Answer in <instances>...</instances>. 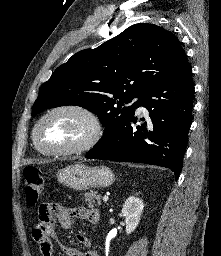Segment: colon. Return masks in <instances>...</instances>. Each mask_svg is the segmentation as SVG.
I'll list each match as a JSON object with an SVG mask.
<instances>
[{"label": "colon", "instance_id": "colon-1", "mask_svg": "<svg viewBox=\"0 0 221 256\" xmlns=\"http://www.w3.org/2000/svg\"><path fill=\"white\" fill-rule=\"evenodd\" d=\"M24 178L26 202L29 206H34L45 188L44 175L37 167L28 166L24 169Z\"/></svg>", "mask_w": 221, "mask_h": 256}]
</instances>
